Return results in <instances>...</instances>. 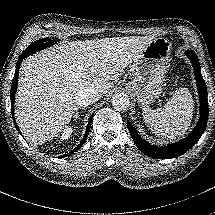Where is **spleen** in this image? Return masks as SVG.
Returning <instances> with one entry per match:
<instances>
[{
    "label": "spleen",
    "mask_w": 215,
    "mask_h": 215,
    "mask_svg": "<svg viewBox=\"0 0 215 215\" xmlns=\"http://www.w3.org/2000/svg\"><path fill=\"white\" fill-rule=\"evenodd\" d=\"M192 98L185 88L176 89L162 108L143 110L145 123L159 137L176 139L183 135L191 123Z\"/></svg>",
    "instance_id": "obj_1"
}]
</instances>
